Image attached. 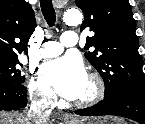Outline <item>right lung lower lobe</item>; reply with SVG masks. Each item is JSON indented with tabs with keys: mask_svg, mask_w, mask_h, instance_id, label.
I'll return each instance as SVG.
<instances>
[{
	"mask_svg": "<svg viewBox=\"0 0 145 124\" xmlns=\"http://www.w3.org/2000/svg\"><path fill=\"white\" fill-rule=\"evenodd\" d=\"M26 105L27 97L23 84L0 83V111L19 110Z\"/></svg>",
	"mask_w": 145,
	"mask_h": 124,
	"instance_id": "98d812e1",
	"label": "right lung lower lobe"
}]
</instances>
